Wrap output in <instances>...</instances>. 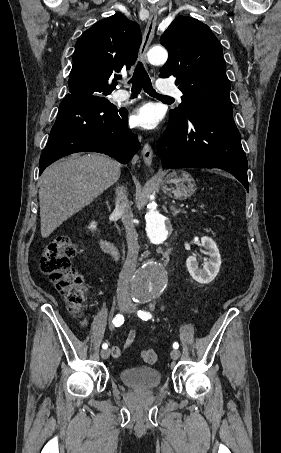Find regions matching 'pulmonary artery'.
I'll list each match as a JSON object with an SVG mask.
<instances>
[{"label": "pulmonary artery", "instance_id": "obj_1", "mask_svg": "<svg viewBox=\"0 0 281 453\" xmlns=\"http://www.w3.org/2000/svg\"><path fill=\"white\" fill-rule=\"evenodd\" d=\"M168 93L173 95L179 101H180V99H181V97L183 95L180 90H173V91H169ZM129 97H130V93L127 90L118 89L117 91H115L113 93L112 101L113 102H117V103H121V102H124V101L128 100Z\"/></svg>", "mask_w": 281, "mask_h": 453}]
</instances>
